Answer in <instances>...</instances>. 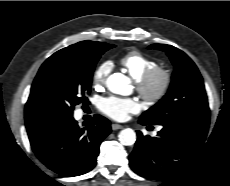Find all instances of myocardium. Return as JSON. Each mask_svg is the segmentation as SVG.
<instances>
[{
    "label": "myocardium",
    "instance_id": "f54148a6",
    "mask_svg": "<svg viewBox=\"0 0 230 186\" xmlns=\"http://www.w3.org/2000/svg\"><path fill=\"white\" fill-rule=\"evenodd\" d=\"M172 84V74L164 67H154L145 72L137 81V91L141 97L155 104L168 93Z\"/></svg>",
    "mask_w": 230,
    "mask_h": 186
}]
</instances>
